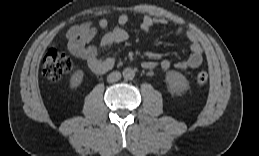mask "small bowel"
<instances>
[{
    "label": "small bowel",
    "instance_id": "c3829d8e",
    "mask_svg": "<svg viewBox=\"0 0 259 156\" xmlns=\"http://www.w3.org/2000/svg\"><path fill=\"white\" fill-rule=\"evenodd\" d=\"M130 20L127 14H121L118 19V25L113 29L105 32L100 40L102 47H109L114 44L124 42L128 39V33L123 28ZM168 20L165 18H157L145 15L141 18V29L149 30L155 25H167ZM108 21L100 19L96 24L86 22L80 25H75L69 28L66 32L67 47L72 55L84 60L88 68L95 74H103L114 66V59L111 57L100 58L97 48L92 44L98 30H106ZM177 36H185L190 41V54L184 60L178 61L174 67L179 70L194 69L199 67L203 61L202 46L198 36L193 31L184 32L181 28L175 30ZM172 66L171 62L164 59L160 62L145 61L142 67L147 70L160 68L168 70Z\"/></svg>",
    "mask_w": 259,
    "mask_h": 156
}]
</instances>
